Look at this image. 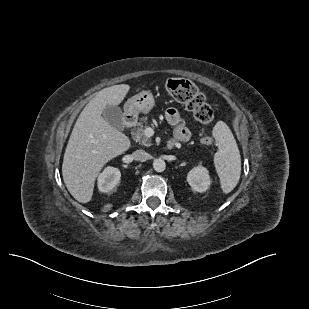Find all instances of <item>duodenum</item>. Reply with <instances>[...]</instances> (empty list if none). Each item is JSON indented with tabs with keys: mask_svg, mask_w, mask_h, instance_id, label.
Instances as JSON below:
<instances>
[{
	"mask_svg": "<svg viewBox=\"0 0 309 309\" xmlns=\"http://www.w3.org/2000/svg\"><path fill=\"white\" fill-rule=\"evenodd\" d=\"M136 124V118L133 114H126L124 117V125L126 129L132 128ZM176 143V140L172 139L168 141L167 147L173 148Z\"/></svg>",
	"mask_w": 309,
	"mask_h": 309,
	"instance_id": "obj_1",
	"label": "duodenum"
}]
</instances>
